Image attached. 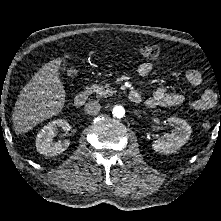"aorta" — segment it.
Instances as JSON below:
<instances>
[{"instance_id":"1","label":"aorta","mask_w":221,"mask_h":221,"mask_svg":"<svg viewBox=\"0 0 221 221\" xmlns=\"http://www.w3.org/2000/svg\"><path fill=\"white\" fill-rule=\"evenodd\" d=\"M112 114L116 118H123L125 116V109L121 105H115L112 109Z\"/></svg>"}]
</instances>
